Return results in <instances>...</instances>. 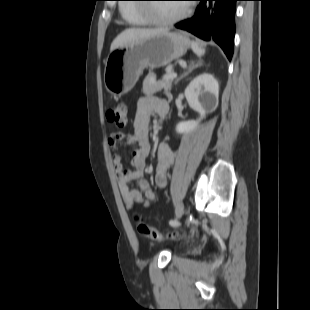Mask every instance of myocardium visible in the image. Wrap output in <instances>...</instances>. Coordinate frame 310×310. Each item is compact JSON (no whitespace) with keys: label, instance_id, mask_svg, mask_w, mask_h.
<instances>
[{"label":"myocardium","instance_id":"1","mask_svg":"<svg viewBox=\"0 0 310 310\" xmlns=\"http://www.w3.org/2000/svg\"><path fill=\"white\" fill-rule=\"evenodd\" d=\"M142 11L148 15L149 20L156 25H170L174 24L182 19H184L187 15H189L191 11V6L188 5L184 7L178 14L171 17H151L150 15L153 13L151 9L143 8Z\"/></svg>","mask_w":310,"mask_h":310}]
</instances>
